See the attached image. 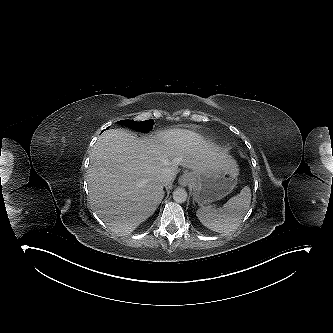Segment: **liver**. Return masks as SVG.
<instances>
[{"label":"liver","mask_w":333,"mask_h":333,"mask_svg":"<svg viewBox=\"0 0 333 333\" xmlns=\"http://www.w3.org/2000/svg\"><path fill=\"white\" fill-rule=\"evenodd\" d=\"M235 162L219 147L187 129H168L139 138L122 129L99 136L90 155L89 199L113 231L130 234L155 212L164 197L158 176L178 166L202 172Z\"/></svg>","instance_id":"obj_1"}]
</instances>
